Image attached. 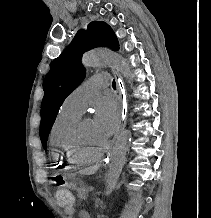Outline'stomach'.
<instances>
[{
  "instance_id": "0dacf381",
  "label": "stomach",
  "mask_w": 211,
  "mask_h": 218,
  "mask_svg": "<svg viewBox=\"0 0 211 218\" xmlns=\"http://www.w3.org/2000/svg\"><path fill=\"white\" fill-rule=\"evenodd\" d=\"M65 186L70 189H78V187L82 184L79 178L75 174H68L64 176Z\"/></svg>"
}]
</instances>
